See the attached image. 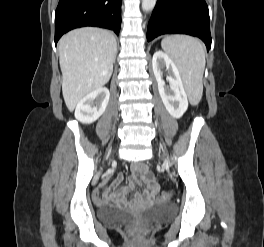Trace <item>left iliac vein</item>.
I'll return each mask as SVG.
<instances>
[{
    "label": "left iliac vein",
    "mask_w": 264,
    "mask_h": 247,
    "mask_svg": "<svg viewBox=\"0 0 264 247\" xmlns=\"http://www.w3.org/2000/svg\"><path fill=\"white\" fill-rule=\"evenodd\" d=\"M165 163L168 164V160H165Z\"/></svg>",
    "instance_id": "left-iliac-vein-1"
}]
</instances>
